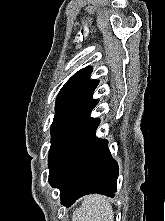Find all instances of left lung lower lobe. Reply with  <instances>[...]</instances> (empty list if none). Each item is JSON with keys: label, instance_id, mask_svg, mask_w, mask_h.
I'll return each instance as SVG.
<instances>
[{"label": "left lung lower lobe", "instance_id": "left-lung-lower-lobe-1", "mask_svg": "<svg viewBox=\"0 0 165 221\" xmlns=\"http://www.w3.org/2000/svg\"><path fill=\"white\" fill-rule=\"evenodd\" d=\"M91 113V112H90ZM90 113L69 129L49 153V182L60 189L61 204L69 207L86 194L113 197L119 168L106 140L95 135L99 119Z\"/></svg>", "mask_w": 165, "mask_h": 221}]
</instances>
